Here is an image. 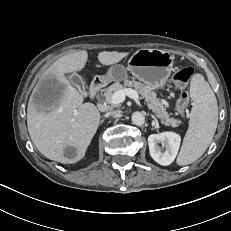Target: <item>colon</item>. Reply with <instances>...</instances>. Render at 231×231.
<instances>
[{"mask_svg": "<svg viewBox=\"0 0 231 231\" xmlns=\"http://www.w3.org/2000/svg\"><path fill=\"white\" fill-rule=\"evenodd\" d=\"M193 73H194V71L192 68L185 67V68L178 70L173 76V80H174L175 84L180 89H182V92H181L179 99L177 101V109L180 113H184L186 108L189 105L190 98H189V94L186 90V86H187L188 81L192 77Z\"/></svg>", "mask_w": 231, "mask_h": 231, "instance_id": "obj_1", "label": "colon"}]
</instances>
